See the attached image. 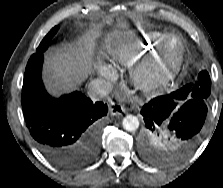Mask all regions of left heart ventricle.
Listing matches in <instances>:
<instances>
[{
	"mask_svg": "<svg viewBox=\"0 0 223 188\" xmlns=\"http://www.w3.org/2000/svg\"><path fill=\"white\" fill-rule=\"evenodd\" d=\"M177 51H178V43H177V41H171L170 43H169V46H168V53H169V57H174L175 56V54L177 53Z\"/></svg>",
	"mask_w": 223,
	"mask_h": 188,
	"instance_id": "left-heart-ventricle-1",
	"label": "left heart ventricle"
}]
</instances>
